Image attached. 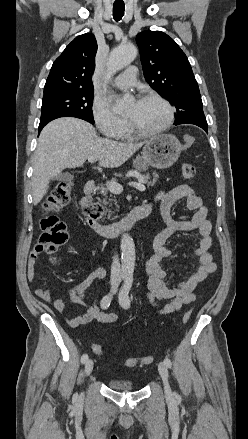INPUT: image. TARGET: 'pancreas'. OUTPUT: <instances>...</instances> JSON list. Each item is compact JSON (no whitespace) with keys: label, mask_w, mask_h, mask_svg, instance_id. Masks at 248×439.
Here are the masks:
<instances>
[{"label":"pancreas","mask_w":248,"mask_h":439,"mask_svg":"<svg viewBox=\"0 0 248 439\" xmlns=\"http://www.w3.org/2000/svg\"><path fill=\"white\" fill-rule=\"evenodd\" d=\"M130 172L133 174L134 177L140 179L142 183L147 184L148 186H153L159 177L158 174L155 172L152 173V177L150 176V174L141 175L138 170H131ZM151 178H152V180H150ZM115 181H116V179H112L111 182H115ZM108 184H109V182L106 183V185L100 184L97 187V190L101 191L104 194V198L102 200H100L103 208H107L106 206L109 204L111 206L113 202L116 204V201L114 198H111V199L107 198ZM106 212H109V211L106 210Z\"/></svg>","instance_id":"obj_1"}]
</instances>
